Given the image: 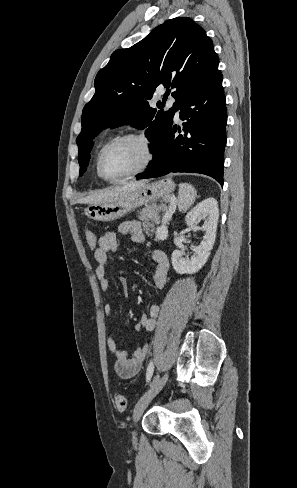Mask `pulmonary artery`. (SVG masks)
<instances>
[{
	"instance_id": "e3ab8cb5",
	"label": "pulmonary artery",
	"mask_w": 297,
	"mask_h": 488,
	"mask_svg": "<svg viewBox=\"0 0 297 488\" xmlns=\"http://www.w3.org/2000/svg\"><path fill=\"white\" fill-rule=\"evenodd\" d=\"M173 103H174V101H173V100H169V101H168V105H169L170 107L173 105ZM175 116H176V118H179V116H180V111H179V109H176V111H175Z\"/></svg>"
}]
</instances>
